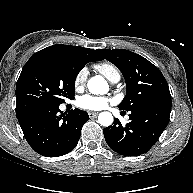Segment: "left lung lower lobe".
<instances>
[{
  "label": "left lung lower lobe",
  "mask_w": 193,
  "mask_h": 193,
  "mask_svg": "<svg viewBox=\"0 0 193 193\" xmlns=\"http://www.w3.org/2000/svg\"><path fill=\"white\" fill-rule=\"evenodd\" d=\"M170 112L171 98L132 110L126 126L116 119L112 126L103 129L105 140L113 151L121 155L139 156L146 153L168 125Z\"/></svg>",
  "instance_id": "left-lung-lower-lobe-1"
}]
</instances>
